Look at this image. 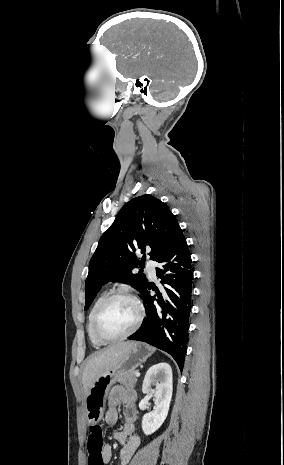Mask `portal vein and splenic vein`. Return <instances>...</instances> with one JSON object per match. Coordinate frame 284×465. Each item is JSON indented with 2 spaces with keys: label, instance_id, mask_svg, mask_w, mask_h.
<instances>
[{
  "label": "portal vein and splenic vein",
  "instance_id": "portal-vein-and-splenic-vein-1",
  "mask_svg": "<svg viewBox=\"0 0 284 465\" xmlns=\"http://www.w3.org/2000/svg\"><path fill=\"white\" fill-rule=\"evenodd\" d=\"M136 377H140V373H135Z\"/></svg>",
  "mask_w": 284,
  "mask_h": 465
}]
</instances>
